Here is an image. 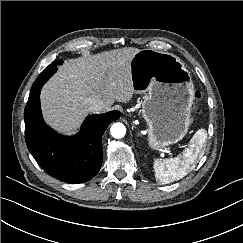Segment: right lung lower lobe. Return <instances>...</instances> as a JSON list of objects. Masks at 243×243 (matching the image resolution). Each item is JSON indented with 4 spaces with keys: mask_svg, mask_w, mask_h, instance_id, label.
Returning a JSON list of instances; mask_svg holds the SVG:
<instances>
[{
    "mask_svg": "<svg viewBox=\"0 0 243 243\" xmlns=\"http://www.w3.org/2000/svg\"><path fill=\"white\" fill-rule=\"evenodd\" d=\"M49 65L32 86L24 111L25 140L39 166L49 175L67 183H83L99 172L103 160L102 136L120 112L91 115L80 132L62 136L48 127L41 115L40 90L56 72Z\"/></svg>",
    "mask_w": 243,
    "mask_h": 243,
    "instance_id": "obj_1",
    "label": "right lung lower lobe"
}]
</instances>
